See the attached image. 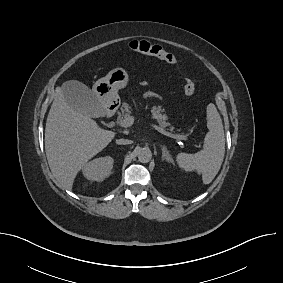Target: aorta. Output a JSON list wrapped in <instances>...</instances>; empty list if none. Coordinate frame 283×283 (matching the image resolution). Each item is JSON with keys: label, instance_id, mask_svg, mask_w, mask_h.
Instances as JSON below:
<instances>
[{"label": "aorta", "instance_id": "1", "mask_svg": "<svg viewBox=\"0 0 283 283\" xmlns=\"http://www.w3.org/2000/svg\"><path fill=\"white\" fill-rule=\"evenodd\" d=\"M152 158V153L149 149L147 148H142L139 152H138V159L140 162L142 163H147L151 160Z\"/></svg>", "mask_w": 283, "mask_h": 283}]
</instances>
